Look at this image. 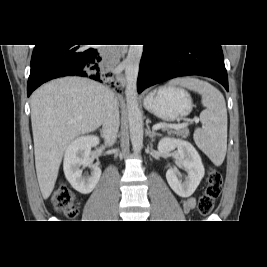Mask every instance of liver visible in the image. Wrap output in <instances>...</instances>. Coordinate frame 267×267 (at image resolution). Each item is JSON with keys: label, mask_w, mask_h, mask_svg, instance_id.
Instances as JSON below:
<instances>
[{"label": "liver", "mask_w": 267, "mask_h": 267, "mask_svg": "<svg viewBox=\"0 0 267 267\" xmlns=\"http://www.w3.org/2000/svg\"><path fill=\"white\" fill-rule=\"evenodd\" d=\"M109 91L89 79L66 77L45 84L32 94L35 167L44 199L54 189L68 145L103 123Z\"/></svg>", "instance_id": "liver-1"}]
</instances>
